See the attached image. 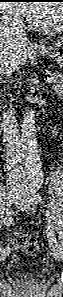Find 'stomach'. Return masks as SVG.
<instances>
[{
	"label": "stomach",
	"instance_id": "obj_1",
	"mask_svg": "<svg viewBox=\"0 0 63 297\" xmlns=\"http://www.w3.org/2000/svg\"><path fill=\"white\" fill-rule=\"evenodd\" d=\"M36 52L43 57L53 59L60 67H63V40L53 46L37 49Z\"/></svg>",
	"mask_w": 63,
	"mask_h": 297
}]
</instances>
